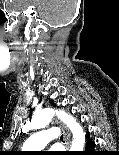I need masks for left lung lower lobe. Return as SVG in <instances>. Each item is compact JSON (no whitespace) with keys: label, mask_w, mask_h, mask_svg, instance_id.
I'll list each match as a JSON object with an SVG mask.
<instances>
[{"label":"left lung lower lobe","mask_w":119,"mask_h":155,"mask_svg":"<svg viewBox=\"0 0 119 155\" xmlns=\"http://www.w3.org/2000/svg\"><path fill=\"white\" fill-rule=\"evenodd\" d=\"M95 143L89 137V132H87V144L84 155H95L94 154Z\"/></svg>","instance_id":"obj_1"}]
</instances>
